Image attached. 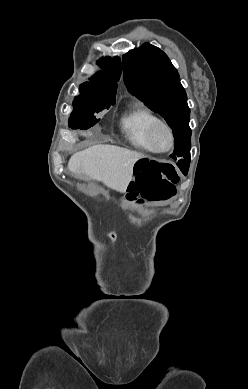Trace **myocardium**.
Listing matches in <instances>:
<instances>
[{
  "mask_svg": "<svg viewBox=\"0 0 248 389\" xmlns=\"http://www.w3.org/2000/svg\"><path fill=\"white\" fill-rule=\"evenodd\" d=\"M158 129H162L166 135L167 144L164 148H158L154 145V135ZM147 140L150 148L155 153H165L172 149L174 144L173 132L171 127L163 120L157 119L154 121L147 131Z\"/></svg>",
  "mask_w": 248,
  "mask_h": 389,
  "instance_id": "obj_1",
  "label": "myocardium"
}]
</instances>
